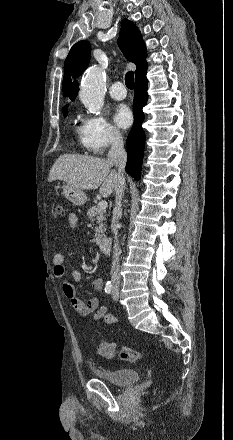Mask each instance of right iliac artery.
Here are the masks:
<instances>
[{
	"instance_id": "right-iliac-artery-1",
	"label": "right iliac artery",
	"mask_w": 233,
	"mask_h": 440,
	"mask_svg": "<svg viewBox=\"0 0 233 440\" xmlns=\"http://www.w3.org/2000/svg\"><path fill=\"white\" fill-rule=\"evenodd\" d=\"M112 288H113V286H112L111 282L108 281L105 285V292L110 294L112 292Z\"/></svg>"
}]
</instances>
